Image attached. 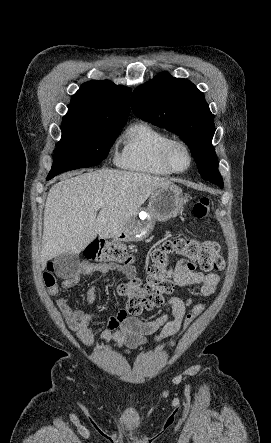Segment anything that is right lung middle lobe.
Masks as SVG:
<instances>
[{
  "mask_svg": "<svg viewBox=\"0 0 271 443\" xmlns=\"http://www.w3.org/2000/svg\"><path fill=\"white\" fill-rule=\"evenodd\" d=\"M127 117L85 118L65 116L50 176L97 165L106 157Z\"/></svg>",
  "mask_w": 271,
  "mask_h": 443,
  "instance_id": "obj_1",
  "label": "right lung middle lobe"
}]
</instances>
